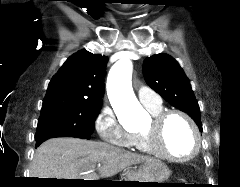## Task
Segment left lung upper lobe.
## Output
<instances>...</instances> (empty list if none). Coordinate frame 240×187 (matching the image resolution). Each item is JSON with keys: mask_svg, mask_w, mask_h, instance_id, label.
<instances>
[{"mask_svg": "<svg viewBox=\"0 0 240 187\" xmlns=\"http://www.w3.org/2000/svg\"><path fill=\"white\" fill-rule=\"evenodd\" d=\"M147 84L168 103L187 113L202 131L200 108L191 84L178 62L167 54L147 57L143 63Z\"/></svg>", "mask_w": 240, "mask_h": 187, "instance_id": "1", "label": "left lung upper lobe"}]
</instances>
